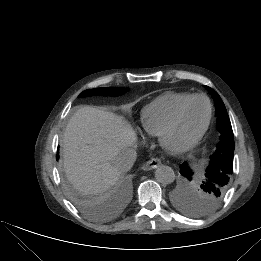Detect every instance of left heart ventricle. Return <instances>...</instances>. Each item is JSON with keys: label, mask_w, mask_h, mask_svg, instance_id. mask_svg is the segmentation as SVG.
Instances as JSON below:
<instances>
[{"label": "left heart ventricle", "mask_w": 261, "mask_h": 261, "mask_svg": "<svg viewBox=\"0 0 261 261\" xmlns=\"http://www.w3.org/2000/svg\"><path fill=\"white\" fill-rule=\"evenodd\" d=\"M207 116L205 100L198 98L182 110L178 123L167 137L169 145H180L191 140L202 128Z\"/></svg>", "instance_id": "obj_1"}]
</instances>
